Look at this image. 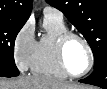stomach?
Listing matches in <instances>:
<instances>
[{"label":"stomach","instance_id":"stomach-1","mask_svg":"<svg viewBox=\"0 0 107 89\" xmlns=\"http://www.w3.org/2000/svg\"><path fill=\"white\" fill-rule=\"evenodd\" d=\"M74 89H83V88H74ZM84 89H89V88H84Z\"/></svg>","mask_w":107,"mask_h":89}]
</instances>
